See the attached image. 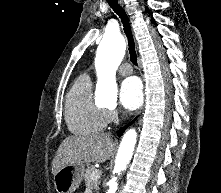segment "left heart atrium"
I'll return each mask as SVG.
<instances>
[{"label":"left heart atrium","instance_id":"1","mask_svg":"<svg viewBox=\"0 0 221 193\" xmlns=\"http://www.w3.org/2000/svg\"><path fill=\"white\" fill-rule=\"evenodd\" d=\"M143 102V87L136 77H130L123 81L120 89V103L127 110H135Z\"/></svg>","mask_w":221,"mask_h":193}]
</instances>
